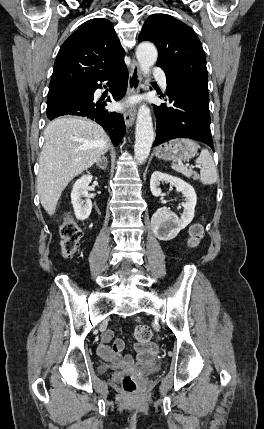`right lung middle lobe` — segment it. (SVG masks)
I'll return each mask as SVG.
<instances>
[{"instance_id":"dd1d6c3e","label":"right lung middle lobe","mask_w":264,"mask_h":429,"mask_svg":"<svg viewBox=\"0 0 264 429\" xmlns=\"http://www.w3.org/2000/svg\"><path fill=\"white\" fill-rule=\"evenodd\" d=\"M85 84L80 85H68V86H60L55 88H49L48 98H47V105L57 101L58 99L62 98L63 96L76 92L82 88H84Z\"/></svg>"}]
</instances>
